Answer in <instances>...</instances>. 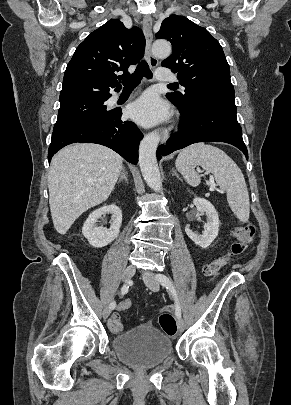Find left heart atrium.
<instances>
[{
  "label": "left heart atrium",
  "mask_w": 291,
  "mask_h": 405,
  "mask_svg": "<svg viewBox=\"0 0 291 405\" xmlns=\"http://www.w3.org/2000/svg\"><path fill=\"white\" fill-rule=\"evenodd\" d=\"M128 113L138 123L149 127L167 120L169 107L158 95L147 92L130 105Z\"/></svg>",
  "instance_id": "left-heart-atrium-1"
}]
</instances>
